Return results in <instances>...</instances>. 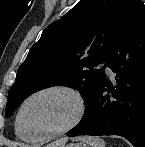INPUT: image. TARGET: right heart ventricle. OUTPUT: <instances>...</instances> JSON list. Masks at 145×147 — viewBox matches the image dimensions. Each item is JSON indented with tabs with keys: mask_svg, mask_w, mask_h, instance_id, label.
Wrapping results in <instances>:
<instances>
[{
	"mask_svg": "<svg viewBox=\"0 0 145 147\" xmlns=\"http://www.w3.org/2000/svg\"><path fill=\"white\" fill-rule=\"evenodd\" d=\"M16 135H17L21 140H24V141H32V140H30V139L28 138V136H27L25 133H23L22 131L18 130L17 128H16Z\"/></svg>",
	"mask_w": 145,
	"mask_h": 147,
	"instance_id": "right-heart-ventricle-1",
	"label": "right heart ventricle"
}]
</instances>
